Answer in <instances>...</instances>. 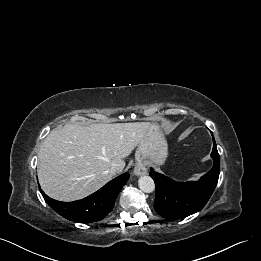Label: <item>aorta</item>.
I'll return each instance as SVG.
<instances>
[{
  "instance_id": "762f6f07",
  "label": "aorta",
  "mask_w": 261,
  "mask_h": 261,
  "mask_svg": "<svg viewBox=\"0 0 261 261\" xmlns=\"http://www.w3.org/2000/svg\"><path fill=\"white\" fill-rule=\"evenodd\" d=\"M138 186L145 193H151L155 189L154 180L150 176H141L138 180Z\"/></svg>"
}]
</instances>
